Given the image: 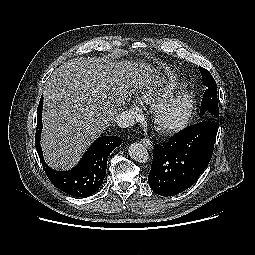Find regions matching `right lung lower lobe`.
<instances>
[{"mask_svg": "<svg viewBox=\"0 0 255 255\" xmlns=\"http://www.w3.org/2000/svg\"><path fill=\"white\" fill-rule=\"evenodd\" d=\"M43 96L37 109V129L35 146L43 169L52 184L63 192L75 197H88L102 184L106 175L108 156L122 140L117 136H103L88 148L79 163L71 170L59 172L50 168L44 161L40 145L42 131Z\"/></svg>", "mask_w": 255, "mask_h": 255, "instance_id": "right-lung-lower-lobe-1", "label": "right lung lower lobe"}]
</instances>
